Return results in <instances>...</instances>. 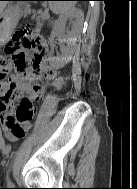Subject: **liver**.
<instances>
[{
    "instance_id": "obj_1",
    "label": "liver",
    "mask_w": 137,
    "mask_h": 189,
    "mask_svg": "<svg viewBox=\"0 0 137 189\" xmlns=\"http://www.w3.org/2000/svg\"><path fill=\"white\" fill-rule=\"evenodd\" d=\"M7 2L6 1H0V14L2 13L3 9L6 7Z\"/></svg>"
}]
</instances>
